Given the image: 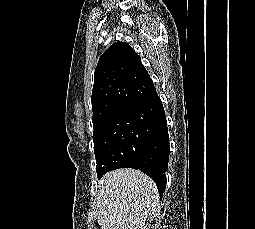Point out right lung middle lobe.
Segmentation results:
<instances>
[{
	"mask_svg": "<svg viewBox=\"0 0 255 229\" xmlns=\"http://www.w3.org/2000/svg\"><path fill=\"white\" fill-rule=\"evenodd\" d=\"M151 135L144 121L126 111L104 121L93 132L98 179L111 170L138 163Z\"/></svg>",
	"mask_w": 255,
	"mask_h": 229,
	"instance_id": "1",
	"label": "right lung middle lobe"
}]
</instances>
